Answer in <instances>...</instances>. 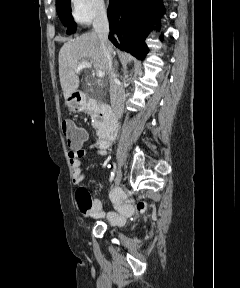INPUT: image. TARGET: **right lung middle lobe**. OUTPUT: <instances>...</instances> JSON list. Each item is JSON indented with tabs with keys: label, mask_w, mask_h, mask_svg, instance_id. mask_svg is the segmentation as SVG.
Returning <instances> with one entry per match:
<instances>
[{
	"label": "right lung middle lobe",
	"mask_w": 240,
	"mask_h": 288,
	"mask_svg": "<svg viewBox=\"0 0 240 288\" xmlns=\"http://www.w3.org/2000/svg\"><path fill=\"white\" fill-rule=\"evenodd\" d=\"M71 0H57L56 1V9L58 16L62 23L68 27L67 33H74L75 27H74V19L71 15Z\"/></svg>",
	"instance_id": "1"
}]
</instances>
